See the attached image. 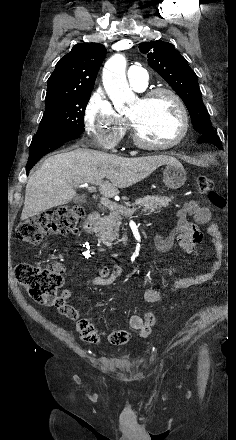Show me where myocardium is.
<instances>
[{
	"mask_svg": "<svg viewBox=\"0 0 236 440\" xmlns=\"http://www.w3.org/2000/svg\"><path fill=\"white\" fill-rule=\"evenodd\" d=\"M159 95H168L175 103L180 118H181V129L178 135L170 142L164 143V144H154L146 141L140 134L139 130L137 129L135 123L132 121V119L128 118L129 126L132 132V137L135 142V144L143 149L147 150H166L170 149L179 143H181L187 136L190 126L189 121V115L187 108L181 99V97L172 89L167 87H157L153 88L151 90H148L144 92L141 96V100L146 102L151 100L152 98L159 96Z\"/></svg>",
	"mask_w": 236,
	"mask_h": 440,
	"instance_id": "myocardium-1",
	"label": "myocardium"
}]
</instances>
